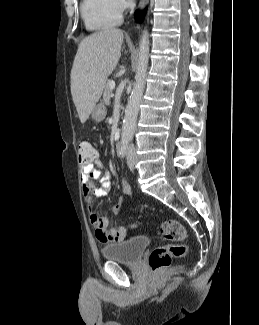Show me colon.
<instances>
[{
	"label": "colon",
	"instance_id": "5ec220e1",
	"mask_svg": "<svg viewBox=\"0 0 259 325\" xmlns=\"http://www.w3.org/2000/svg\"><path fill=\"white\" fill-rule=\"evenodd\" d=\"M95 149L88 140H82L78 146V158L80 162L88 163L93 160ZM122 203L118 202L114 211L118 213ZM160 233L166 240L171 241L154 248L148 258V264L152 271H158L168 266L173 258L183 257L187 252L186 240L188 237L186 228L177 220H166L160 226Z\"/></svg>",
	"mask_w": 259,
	"mask_h": 325
}]
</instances>
